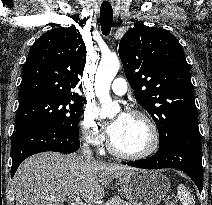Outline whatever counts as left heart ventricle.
I'll return each instance as SVG.
<instances>
[{
    "instance_id": "1",
    "label": "left heart ventricle",
    "mask_w": 212,
    "mask_h": 205,
    "mask_svg": "<svg viewBox=\"0 0 212 205\" xmlns=\"http://www.w3.org/2000/svg\"><path fill=\"white\" fill-rule=\"evenodd\" d=\"M111 139L118 150L135 153L147 146L149 132L146 124L141 119L127 116L115 133L111 135Z\"/></svg>"
}]
</instances>
